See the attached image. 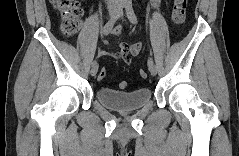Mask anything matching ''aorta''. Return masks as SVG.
Returning <instances> with one entry per match:
<instances>
[{
    "instance_id": "obj_1",
    "label": "aorta",
    "mask_w": 239,
    "mask_h": 156,
    "mask_svg": "<svg viewBox=\"0 0 239 156\" xmlns=\"http://www.w3.org/2000/svg\"><path fill=\"white\" fill-rule=\"evenodd\" d=\"M131 0H121V3L124 5H130L131 4Z\"/></svg>"
}]
</instances>
